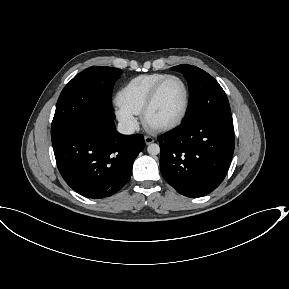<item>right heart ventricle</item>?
I'll list each match as a JSON object with an SVG mask.
<instances>
[{"label":"right heart ventricle","instance_id":"obj_1","mask_svg":"<svg viewBox=\"0 0 289 289\" xmlns=\"http://www.w3.org/2000/svg\"><path fill=\"white\" fill-rule=\"evenodd\" d=\"M165 73L142 74L126 83L117 94V102L135 115L141 114L143 105L154 85Z\"/></svg>","mask_w":289,"mask_h":289}]
</instances>
